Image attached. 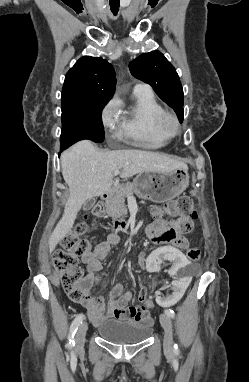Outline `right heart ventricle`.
Segmentation results:
<instances>
[{"label":"right heart ventricle","mask_w":249,"mask_h":382,"mask_svg":"<svg viewBox=\"0 0 249 382\" xmlns=\"http://www.w3.org/2000/svg\"><path fill=\"white\" fill-rule=\"evenodd\" d=\"M164 111L152 91L134 90L132 103L123 113L117 135L146 149H158L167 145L171 136L161 124Z\"/></svg>","instance_id":"obj_1"}]
</instances>
